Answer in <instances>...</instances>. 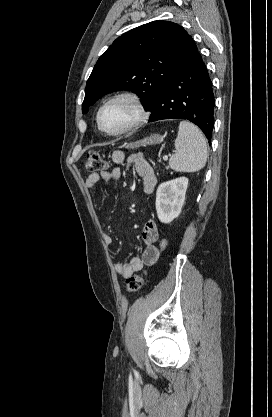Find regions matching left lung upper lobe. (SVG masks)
<instances>
[{
    "mask_svg": "<svg viewBox=\"0 0 272 417\" xmlns=\"http://www.w3.org/2000/svg\"><path fill=\"white\" fill-rule=\"evenodd\" d=\"M197 52L192 37L173 22L153 21L124 33L96 62L87 81L82 112L117 90L137 92L143 107L152 111L158 95Z\"/></svg>",
    "mask_w": 272,
    "mask_h": 417,
    "instance_id": "5c2ea615",
    "label": "left lung upper lobe"
}]
</instances>
